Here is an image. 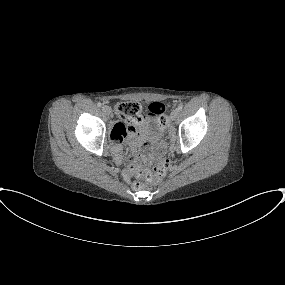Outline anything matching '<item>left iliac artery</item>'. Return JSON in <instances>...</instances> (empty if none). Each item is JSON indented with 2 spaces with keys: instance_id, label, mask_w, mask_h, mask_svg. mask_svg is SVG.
<instances>
[{
  "instance_id": "left-iliac-artery-1",
  "label": "left iliac artery",
  "mask_w": 285,
  "mask_h": 285,
  "mask_svg": "<svg viewBox=\"0 0 285 285\" xmlns=\"http://www.w3.org/2000/svg\"><path fill=\"white\" fill-rule=\"evenodd\" d=\"M177 109H178L179 111H181V110L183 109V105L180 104V105L177 107Z\"/></svg>"
}]
</instances>
